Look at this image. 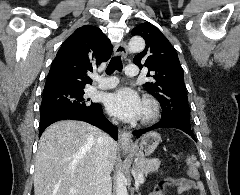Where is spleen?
<instances>
[{
	"label": "spleen",
	"mask_w": 240,
	"mask_h": 195,
	"mask_svg": "<svg viewBox=\"0 0 240 195\" xmlns=\"http://www.w3.org/2000/svg\"><path fill=\"white\" fill-rule=\"evenodd\" d=\"M192 159H196V157L193 155ZM195 165H200L199 161H196Z\"/></svg>",
	"instance_id": "obj_1"
}]
</instances>
